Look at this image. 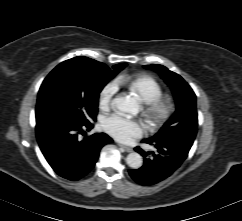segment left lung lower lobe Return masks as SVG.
I'll list each match as a JSON object with an SVG mask.
<instances>
[{"mask_svg": "<svg viewBox=\"0 0 242 221\" xmlns=\"http://www.w3.org/2000/svg\"><path fill=\"white\" fill-rule=\"evenodd\" d=\"M156 148V152H145L139 147L135 150L144 157L141 168L129 170L132 179L140 185L156 184L177 170L186 159L193 141L179 138L152 141L143 140Z\"/></svg>", "mask_w": 242, "mask_h": 221, "instance_id": "left-lung-lower-lobe-1", "label": "left lung lower lobe"}]
</instances>
